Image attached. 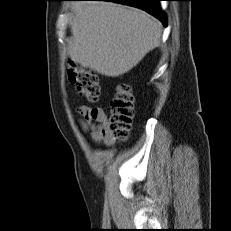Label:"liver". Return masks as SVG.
I'll use <instances>...</instances> for the list:
<instances>
[{
	"instance_id": "6515ba94",
	"label": "liver",
	"mask_w": 231,
	"mask_h": 231,
	"mask_svg": "<svg viewBox=\"0 0 231 231\" xmlns=\"http://www.w3.org/2000/svg\"><path fill=\"white\" fill-rule=\"evenodd\" d=\"M70 28V58L117 77L135 67L161 40V24L148 13L111 2H77Z\"/></svg>"
}]
</instances>
